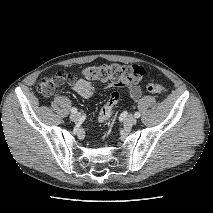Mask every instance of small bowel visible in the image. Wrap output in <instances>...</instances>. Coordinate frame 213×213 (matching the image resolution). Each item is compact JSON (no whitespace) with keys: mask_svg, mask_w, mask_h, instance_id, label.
Listing matches in <instances>:
<instances>
[{"mask_svg":"<svg viewBox=\"0 0 213 213\" xmlns=\"http://www.w3.org/2000/svg\"><path fill=\"white\" fill-rule=\"evenodd\" d=\"M61 84L62 83L50 82L45 88L40 89L41 93L44 96L49 97L54 93L56 87ZM69 84L71 89L84 99H88L98 89V86L95 83L86 79H74ZM112 86V83H107L105 85L106 88H110ZM140 94L141 91L138 86L130 87L129 95L133 100H137Z\"/></svg>","mask_w":213,"mask_h":213,"instance_id":"small-bowel-1","label":"small bowel"}]
</instances>
